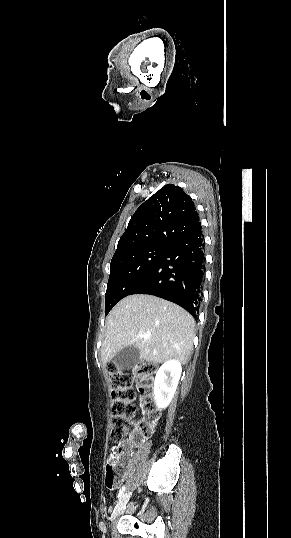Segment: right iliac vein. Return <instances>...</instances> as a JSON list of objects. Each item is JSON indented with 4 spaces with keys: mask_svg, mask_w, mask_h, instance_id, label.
<instances>
[{
    "mask_svg": "<svg viewBox=\"0 0 291 538\" xmlns=\"http://www.w3.org/2000/svg\"><path fill=\"white\" fill-rule=\"evenodd\" d=\"M131 494H132V492L128 491L127 493L123 494V496L119 499V502L117 503V505L115 506L113 512L111 513L110 521H113L116 518L117 513L119 511L120 504H122L124 501H126V499L128 497H130Z\"/></svg>",
    "mask_w": 291,
    "mask_h": 538,
    "instance_id": "1",
    "label": "right iliac vein"
}]
</instances>
